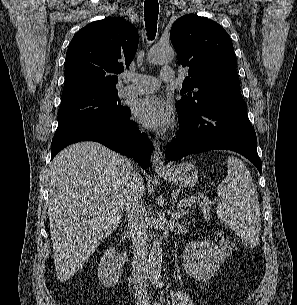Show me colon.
<instances>
[{"label":"colon","mask_w":297,"mask_h":305,"mask_svg":"<svg viewBox=\"0 0 297 305\" xmlns=\"http://www.w3.org/2000/svg\"><path fill=\"white\" fill-rule=\"evenodd\" d=\"M219 240H220L224 250L228 254H234L236 252V244L233 241H231L228 237H226L224 235H220Z\"/></svg>","instance_id":"obj_1"}]
</instances>
